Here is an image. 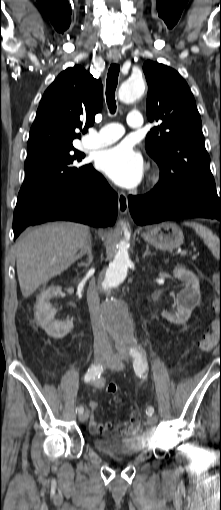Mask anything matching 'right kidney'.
I'll use <instances>...</instances> for the list:
<instances>
[{
    "label": "right kidney",
    "instance_id": "1",
    "mask_svg": "<svg viewBox=\"0 0 221 510\" xmlns=\"http://www.w3.org/2000/svg\"><path fill=\"white\" fill-rule=\"evenodd\" d=\"M61 292L60 286H51L41 291L35 306V317L45 332L56 339L65 337L73 329V320L54 319L55 309L50 300Z\"/></svg>",
    "mask_w": 221,
    "mask_h": 510
}]
</instances>
